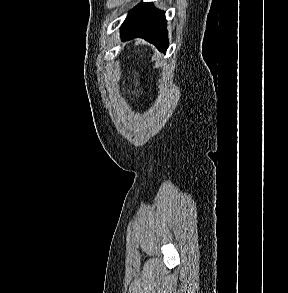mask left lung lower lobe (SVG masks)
<instances>
[{"label":"left lung lower lobe","instance_id":"obj_1","mask_svg":"<svg viewBox=\"0 0 288 293\" xmlns=\"http://www.w3.org/2000/svg\"><path fill=\"white\" fill-rule=\"evenodd\" d=\"M165 13L156 9L151 2L140 3L128 14L121 26V40L137 37L153 43L160 51L168 48Z\"/></svg>","mask_w":288,"mask_h":293}]
</instances>
